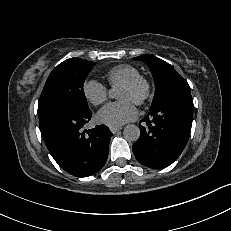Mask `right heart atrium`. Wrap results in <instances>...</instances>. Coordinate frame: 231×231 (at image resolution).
Masks as SVG:
<instances>
[{"label": "right heart atrium", "instance_id": "1", "mask_svg": "<svg viewBox=\"0 0 231 231\" xmlns=\"http://www.w3.org/2000/svg\"><path fill=\"white\" fill-rule=\"evenodd\" d=\"M82 92L85 99L94 106L105 103L108 98L107 87L93 79L86 80L83 83Z\"/></svg>", "mask_w": 231, "mask_h": 231}]
</instances>
